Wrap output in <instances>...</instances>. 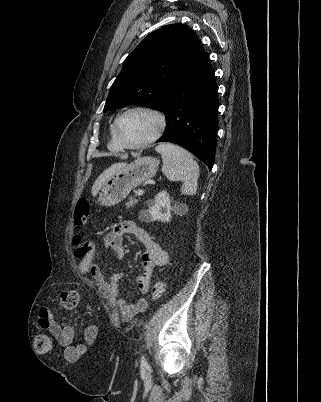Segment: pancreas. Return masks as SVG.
<instances>
[{
	"label": "pancreas",
	"mask_w": 321,
	"mask_h": 402,
	"mask_svg": "<svg viewBox=\"0 0 321 402\" xmlns=\"http://www.w3.org/2000/svg\"><path fill=\"white\" fill-rule=\"evenodd\" d=\"M137 203V200L133 197L129 198V201L126 203L127 208L133 207Z\"/></svg>",
	"instance_id": "obj_1"
}]
</instances>
